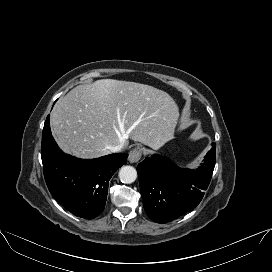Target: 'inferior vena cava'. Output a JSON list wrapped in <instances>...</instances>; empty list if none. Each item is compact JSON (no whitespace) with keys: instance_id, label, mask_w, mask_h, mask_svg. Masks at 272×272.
I'll return each instance as SVG.
<instances>
[{"instance_id":"1","label":"inferior vena cava","mask_w":272,"mask_h":272,"mask_svg":"<svg viewBox=\"0 0 272 272\" xmlns=\"http://www.w3.org/2000/svg\"><path fill=\"white\" fill-rule=\"evenodd\" d=\"M122 148H123L122 144H117V145H113V146L108 147V149L112 153L119 152V151H121Z\"/></svg>"}]
</instances>
